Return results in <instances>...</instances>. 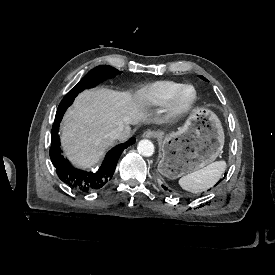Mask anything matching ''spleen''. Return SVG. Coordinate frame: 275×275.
<instances>
[{"label":"spleen","instance_id":"1","mask_svg":"<svg viewBox=\"0 0 275 275\" xmlns=\"http://www.w3.org/2000/svg\"><path fill=\"white\" fill-rule=\"evenodd\" d=\"M226 168L224 161H216L209 165L183 176L179 185L187 191L198 193L211 188L222 176Z\"/></svg>","mask_w":275,"mask_h":275}]
</instances>
